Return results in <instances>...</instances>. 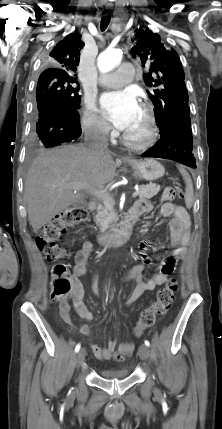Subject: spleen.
Instances as JSON below:
<instances>
[{"label": "spleen", "instance_id": "obj_1", "mask_svg": "<svg viewBox=\"0 0 222 429\" xmlns=\"http://www.w3.org/2000/svg\"><path fill=\"white\" fill-rule=\"evenodd\" d=\"M180 173L185 181V203L187 208H191L194 201V190L190 175L183 166H178Z\"/></svg>", "mask_w": 222, "mask_h": 429}]
</instances>
